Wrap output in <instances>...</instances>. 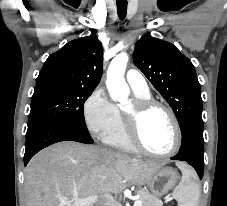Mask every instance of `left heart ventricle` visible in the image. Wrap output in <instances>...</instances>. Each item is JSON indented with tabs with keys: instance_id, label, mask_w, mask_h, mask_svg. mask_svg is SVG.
Listing matches in <instances>:
<instances>
[{
	"instance_id": "1",
	"label": "left heart ventricle",
	"mask_w": 227,
	"mask_h": 206,
	"mask_svg": "<svg viewBox=\"0 0 227 206\" xmlns=\"http://www.w3.org/2000/svg\"><path fill=\"white\" fill-rule=\"evenodd\" d=\"M130 104L126 111H130ZM141 138L145 146L156 153L170 151L175 143V130L165 111L154 108L144 117L141 125Z\"/></svg>"
}]
</instances>
